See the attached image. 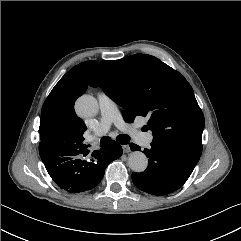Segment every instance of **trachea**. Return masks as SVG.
<instances>
[{
    "label": "trachea",
    "mask_w": 241,
    "mask_h": 241,
    "mask_svg": "<svg viewBox=\"0 0 241 241\" xmlns=\"http://www.w3.org/2000/svg\"><path fill=\"white\" fill-rule=\"evenodd\" d=\"M129 140H130V138L126 134H120L119 136H117V141L120 144H123V145L128 144ZM110 142H111V138L108 136H104L100 140V146L104 147V146L108 145Z\"/></svg>",
    "instance_id": "trachea-1"
}]
</instances>
